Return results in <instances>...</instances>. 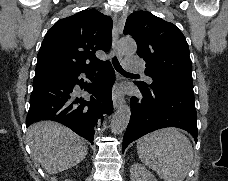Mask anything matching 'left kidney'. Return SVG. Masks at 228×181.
<instances>
[{"label":"left kidney","instance_id":"5707ae66","mask_svg":"<svg viewBox=\"0 0 228 181\" xmlns=\"http://www.w3.org/2000/svg\"><path fill=\"white\" fill-rule=\"evenodd\" d=\"M130 181H156V179L150 171H147L146 167L134 163L130 169Z\"/></svg>","mask_w":228,"mask_h":181}]
</instances>
